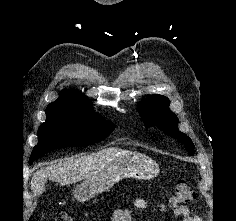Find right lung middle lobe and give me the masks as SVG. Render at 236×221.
<instances>
[{
  "instance_id": "obj_1",
  "label": "right lung middle lobe",
  "mask_w": 236,
  "mask_h": 221,
  "mask_svg": "<svg viewBox=\"0 0 236 221\" xmlns=\"http://www.w3.org/2000/svg\"><path fill=\"white\" fill-rule=\"evenodd\" d=\"M46 121L38 130V144L29 159L31 164L40 156L62 147L88 146L106 138L114 124L96 115L65 106H48Z\"/></svg>"
}]
</instances>
